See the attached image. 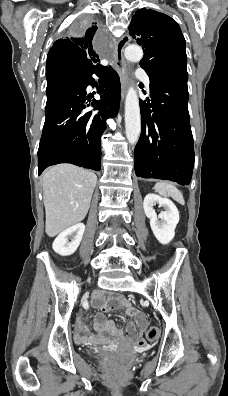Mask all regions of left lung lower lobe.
I'll return each instance as SVG.
<instances>
[{
	"mask_svg": "<svg viewBox=\"0 0 228 396\" xmlns=\"http://www.w3.org/2000/svg\"><path fill=\"white\" fill-rule=\"evenodd\" d=\"M148 76L151 104L140 100L141 135L134 151L135 173L188 185L195 158L188 87L167 75Z\"/></svg>",
	"mask_w": 228,
	"mask_h": 396,
	"instance_id": "1",
	"label": "left lung lower lobe"
}]
</instances>
